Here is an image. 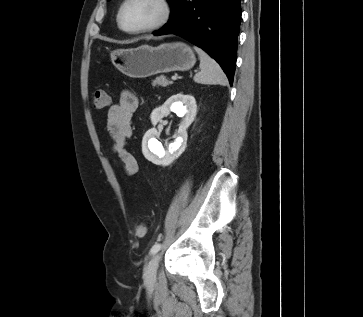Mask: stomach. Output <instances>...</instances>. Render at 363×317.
<instances>
[{"instance_id":"0dacf381","label":"stomach","mask_w":363,"mask_h":317,"mask_svg":"<svg viewBox=\"0 0 363 317\" xmlns=\"http://www.w3.org/2000/svg\"><path fill=\"white\" fill-rule=\"evenodd\" d=\"M113 65L132 78H145L158 73L187 71L196 58L185 43H164L157 47L141 45L136 48L118 49L111 53Z\"/></svg>"}]
</instances>
